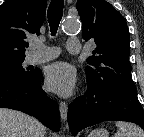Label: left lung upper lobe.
Returning a JSON list of instances; mask_svg holds the SVG:
<instances>
[{
  "label": "left lung upper lobe",
  "instance_id": "obj_1",
  "mask_svg": "<svg viewBox=\"0 0 144 137\" xmlns=\"http://www.w3.org/2000/svg\"><path fill=\"white\" fill-rule=\"evenodd\" d=\"M83 38L94 40L93 56L87 58L88 88L136 89L129 63L130 35L125 18L104 0H78Z\"/></svg>",
  "mask_w": 144,
  "mask_h": 137
}]
</instances>
